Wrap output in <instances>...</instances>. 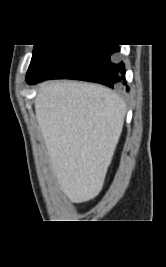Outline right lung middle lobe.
Listing matches in <instances>:
<instances>
[{"label": "right lung middle lobe", "mask_w": 166, "mask_h": 267, "mask_svg": "<svg viewBox=\"0 0 166 267\" xmlns=\"http://www.w3.org/2000/svg\"><path fill=\"white\" fill-rule=\"evenodd\" d=\"M51 46L52 45H34L33 56L26 78L30 76L37 64L40 62L45 53L51 48Z\"/></svg>", "instance_id": "1"}]
</instances>
